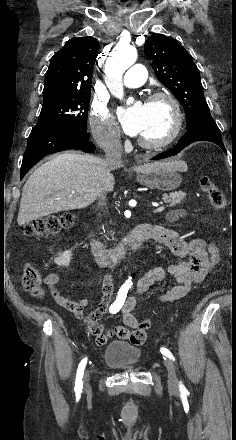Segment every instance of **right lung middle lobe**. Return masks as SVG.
<instances>
[{
	"label": "right lung middle lobe",
	"mask_w": 236,
	"mask_h": 440,
	"mask_svg": "<svg viewBox=\"0 0 236 440\" xmlns=\"http://www.w3.org/2000/svg\"><path fill=\"white\" fill-rule=\"evenodd\" d=\"M90 93L44 103L35 127L79 128L87 130Z\"/></svg>",
	"instance_id": "right-lung-middle-lobe-1"
}]
</instances>
